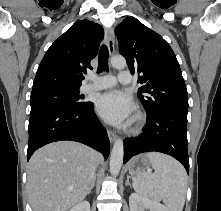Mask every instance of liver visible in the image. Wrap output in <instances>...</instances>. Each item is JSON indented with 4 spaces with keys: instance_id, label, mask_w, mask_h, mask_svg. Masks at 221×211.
Returning a JSON list of instances; mask_svg holds the SVG:
<instances>
[{
    "instance_id": "liver-1",
    "label": "liver",
    "mask_w": 221,
    "mask_h": 211,
    "mask_svg": "<svg viewBox=\"0 0 221 211\" xmlns=\"http://www.w3.org/2000/svg\"><path fill=\"white\" fill-rule=\"evenodd\" d=\"M102 160L90 147L59 141L38 149L27 168V191L33 211H68L85 199Z\"/></svg>"
}]
</instances>
